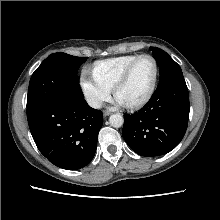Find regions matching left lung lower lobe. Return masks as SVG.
I'll return each instance as SVG.
<instances>
[{
    "label": "left lung lower lobe",
    "instance_id": "left-lung-lower-lobe-1",
    "mask_svg": "<svg viewBox=\"0 0 220 220\" xmlns=\"http://www.w3.org/2000/svg\"><path fill=\"white\" fill-rule=\"evenodd\" d=\"M189 118V95L184 79L157 88L146 106L124 115L122 136L141 156L164 155L185 135Z\"/></svg>",
    "mask_w": 220,
    "mask_h": 220
}]
</instances>
